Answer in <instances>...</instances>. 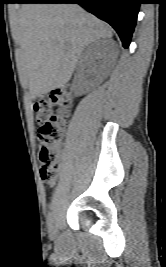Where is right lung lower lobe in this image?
I'll return each instance as SVG.
<instances>
[{"instance_id": "obj_1", "label": "right lung lower lobe", "mask_w": 166, "mask_h": 267, "mask_svg": "<svg viewBox=\"0 0 166 267\" xmlns=\"http://www.w3.org/2000/svg\"><path fill=\"white\" fill-rule=\"evenodd\" d=\"M20 3H77L109 23L128 48L141 0H21Z\"/></svg>"}]
</instances>
